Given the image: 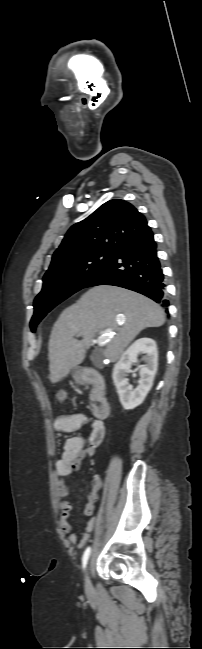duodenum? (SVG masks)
<instances>
[{
	"label": "duodenum",
	"mask_w": 202,
	"mask_h": 649,
	"mask_svg": "<svg viewBox=\"0 0 202 649\" xmlns=\"http://www.w3.org/2000/svg\"><path fill=\"white\" fill-rule=\"evenodd\" d=\"M80 381L91 385V405L96 417L107 418L111 405L106 394L104 377L95 369L84 368L80 372Z\"/></svg>",
	"instance_id": "duodenum-1"
}]
</instances>
